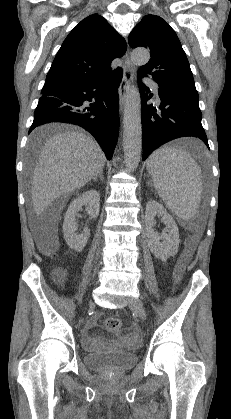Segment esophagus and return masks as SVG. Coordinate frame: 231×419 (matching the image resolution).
Returning a JSON list of instances; mask_svg holds the SVG:
<instances>
[{
  "mask_svg": "<svg viewBox=\"0 0 231 419\" xmlns=\"http://www.w3.org/2000/svg\"><path fill=\"white\" fill-rule=\"evenodd\" d=\"M134 74H135V67L130 62L128 51H127V53L125 54L124 63H123V77L119 86V102H120L121 112L123 111L127 93H128L130 84L133 80Z\"/></svg>",
  "mask_w": 231,
  "mask_h": 419,
  "instance_id": "esophagus-1",
  "label": "esophagus"
}]
</instances>
